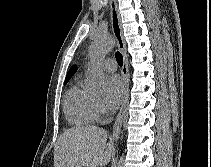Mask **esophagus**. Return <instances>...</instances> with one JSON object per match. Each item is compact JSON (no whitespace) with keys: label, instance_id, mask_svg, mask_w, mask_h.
Masks as SVG:
<instances>
[{"label":"esophagus","instance_id":"obj_1","mask_svg":"<svg viewBox=\"0 0 211 167\" xmlns=\"http://www.w3.org/2000/svg\"><path fill=\"white\" fill-rule=\"evenodd\" d=\"M109 3H110V9H111V24H112L113 34L117 41L118 48L123 56V66L121 68V75L124 82V92H123V98H122L120 111L114 122L113 132H112L113 140H117L120 136L122 122H123L125 110H126V103H127L128 91H129V76H128V59H127L126 46H125V41L123 37L122 27H121L119 10L117 7L116 0H109Z\"/></svg>","mask_w":211,"mask_h":167}]
</instances>
